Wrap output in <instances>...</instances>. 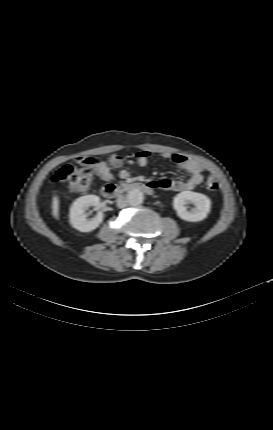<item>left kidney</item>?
<instances>
[{
    "label": "left kidney",
    "instance_id": "left-kidney-1",
    "mask_svg": "<svg viewBox=\"0 0 273 430\" xmlns=\"http://www.w3.org/2000/svg\"><path fill=\"white\" fill-rule=\"evenodd\" d=\"M189 204H193L195 207L189 210ZM173 207L182 220L199 222L205 219L210 212L211 200L201 193L183 191L174 197Z\"/></svg>",
    "mask_w": 273,
    "mask_h": 430
}]
</instances>
